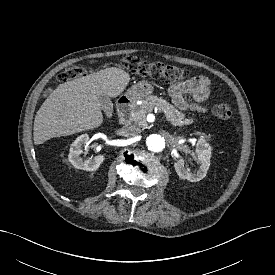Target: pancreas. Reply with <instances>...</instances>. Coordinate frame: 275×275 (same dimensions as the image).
Returning a JSON list of instances; mask_svg holds the SVG:
<instances>
[{"mask_svg":"<svg viewBox=\"0 0 275 275\" xmlns=\"http://www.w3.org/2000/svg\"><path fill=\"white\" fill-rule=\"evenodd\" d=\"M157 107L159 112H164L166 120L174 126H183L193 123L192 118H186L185 114L177 110L173 105L161 97L150 95L131 110V119L141 125H146V114Z\"/></svg>","mask_w":275,"mask_h":275,"instance_id":"cf45deb5","label":"pancreas"}]
</instances>
